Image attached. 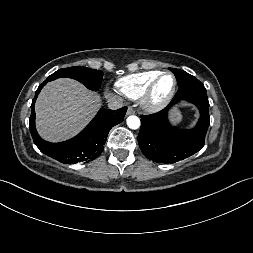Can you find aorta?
I'll use <instances>...</instances> for the list:
<instances>
[{"mask_svg": "<svg viewBox=\"0 0 253 253\" xmlns=\"http://www.w3.org/2000/svg\"><path fill=\"white\" fill-rule=\"evenodd\" d=\"M127 125L131 129H138L140 127V119L137 116L131 115L127 118Z\"/></svg>", "mask_w": 253, "mask_h": 253, "instance_id": "1", "label": "aorta"}]
</instances>
